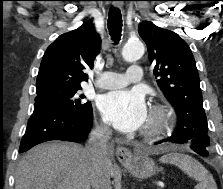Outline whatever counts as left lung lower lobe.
Here are the masks:
<instances>
[{"mask_svg":"<svg viewBox=\"0 0 223 189\" xmlns=\"http://www.w3.org/2000/svg\"><path fill=\"white\" fill-rule=\"evenodd\" d=\"M164 141H171L173 142L172 140H170L169 138L167 140H163V141H160V142H156L155 144H160ZM176 143V142H174ZM191 149L193 151H195L196 153H198L199 155L203 156V157H206L208 155V149L207 148H204V147H199L197 145H194V144H191L190 145Z\"/></svg>","mask_w":223,"mask_h":189,"instance_id":"1","label":"left lung lower lobe"}]
</instances>
